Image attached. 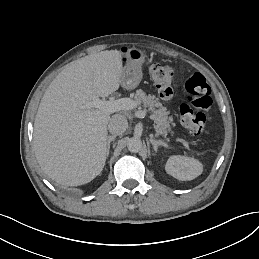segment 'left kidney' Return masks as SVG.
Instances as JSON below:
<instances>
[{
	"label": "left kidney",
	"instance_id": "5707ae66",
	"mask_svg": "<svg viewBox=\"0 0 259 259\" xmlns=\"http://www.w3.org/2000/svg\"><path fill=\"white\" fill-rule=\"evenodd\" d=\"M166 172L178 180L188 181L201 174L202 165L193 159L174 156L166 164Z\"/></svg>",
	"mask_w": 259,
	"mask_h": 259
}]
</instances>
